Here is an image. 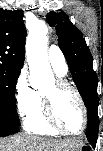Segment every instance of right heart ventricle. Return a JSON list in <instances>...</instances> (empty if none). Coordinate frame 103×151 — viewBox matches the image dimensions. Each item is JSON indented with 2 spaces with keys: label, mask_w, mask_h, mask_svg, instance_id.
Instances as JSON below:
<instances>
[{
  "label": "right heart ventricle",
  "mask_w": 103,
  "mask_h": 151,
  "mask_svg": "<svg viewBox=\"0 0 103 151\" xmlns=\"http://www.w3.org/2000/svg\"><path fill=\"white\" fill-rule=\"evenodd\" d=\"M56 72V71H55ZM59 77L64 74L56 72ZM25 129L37 135H57L59 132L51 129L45 121L42 95L36 92V104L32 112L24 120Z\"/></svg>",
  "instance_id": "obj_1"
}]
</instances>
